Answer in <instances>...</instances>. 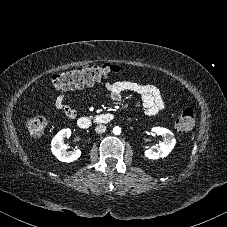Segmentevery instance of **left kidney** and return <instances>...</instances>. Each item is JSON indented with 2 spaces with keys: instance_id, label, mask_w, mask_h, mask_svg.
<instances>
[{
  "instance_id": "5707ae66",
  "label": "left kidney",
  "mask_w": 227,
  "mask_h": 227,
  "mask_svg": "<svg viewBox=\"0 0 227 227\" xmlns=\"http://www.w3.org/2000/svg\"><path fill=\"white\" fill-rule=\"evenodd\" d=\"M152 131L157 135H161L163 137V141L160 143L159 149L157 150L147 149L145 150L144 155L148 159L152 160L168 156L176 144V140L173 136V133L170 130L163 127H154L152 128Z\"/></svg>"
}]
</instances>
